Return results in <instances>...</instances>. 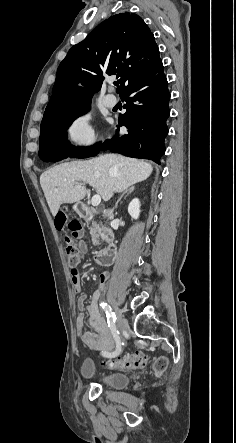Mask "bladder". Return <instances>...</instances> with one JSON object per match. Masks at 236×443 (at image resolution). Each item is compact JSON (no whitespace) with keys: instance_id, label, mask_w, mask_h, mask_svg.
<instances>
[{"instance_id":"1","label":"bladder","mask_w":236,"mask_h":443,"mask_svg":"<svg viewBox=\"0 0 236 443\" xmlns=\"http://www.w3.org/2000/svg\"><path fill=\"white\" fill-rule=\"evenodd\" d=\"M82 375L87 380H98L100 384L113 389H124L130 383V379L124 374L117 372H97L93 363L89 360H86L82 365Z\"/></svg>"}]
</instances>
